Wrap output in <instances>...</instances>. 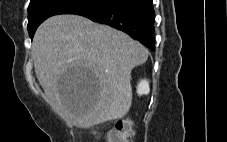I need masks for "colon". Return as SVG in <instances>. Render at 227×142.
Instances as JSON below:
<instances>
[{"mask_svg":"<svg viewBox=\"0 0 227 142\" xmlns=\"http://www.w3.org/2000/svg\"><path fill=\"white\" fill-rule=\"evenodd\" d=\"M133 133L132 122L128 119L119 120L115 126L103 133L101 142H128Z\"/></svg>","mask_w":227,"mask_h":142,"instance_id":"obj_1","label":"colon"}]
</instances>
